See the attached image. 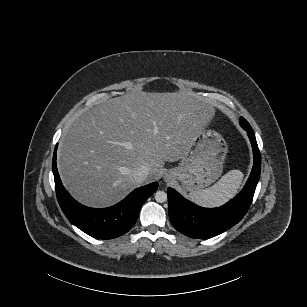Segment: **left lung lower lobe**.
<instances>
[{
    "instance_id": "left-lung-lower-lobe-1",
    "label": "left lung lower lobe",
    "mask_w": 307,
    "mask_h": 307,
    "mask_svg": "<svg viewBox=\"0 0 307 307\" xmlns=\"http://www.w3.org/2000/svg\"><path fill=\"white\" fill-rule=\"evenodd\" d=\"M241 126L251 141L254 164L248 181L234 199L218 208H202L168 188L169 218L174 228L182 234L198 239L214 237L237 224L248 211L260 177L261 155L251 126Z\"/></svg>"
}]
</instances>
